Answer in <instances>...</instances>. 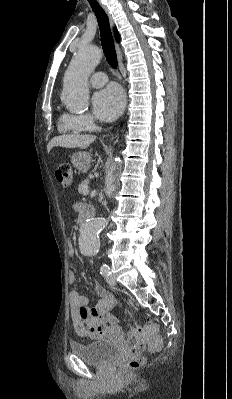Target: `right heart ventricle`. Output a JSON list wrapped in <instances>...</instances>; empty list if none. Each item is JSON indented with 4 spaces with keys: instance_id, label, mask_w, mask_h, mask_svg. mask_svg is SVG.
<instances>
[{
    "instance_id": "right-heart-ventricle-1",
    "label": "right heart ventricle",
    "mask_w": 232,
    "mask_h": 399,
    "mask_svg": "<svg viewBox=\"0 0 232 399\" xmlns=\"http://www.w3.org/2000/svg\"><path fill=\"white\" fill-rule=\"evenodd\" d=\"M57 129L60 134L71 138L81 137L86 131H89L72 115L60 116Z\"/></svg>"
}]
</instances>
